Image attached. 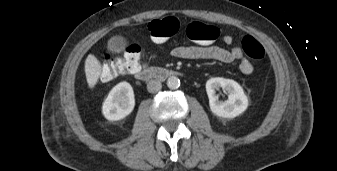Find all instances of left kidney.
<instances>
[{"label":"left kidney","instance_id":"1","mask_svg":"<svg viewBox=\"0 0 337 171\" xmlns=\"http://www.w3.org/2000/svg\"><path fill=\"white\" fill-rule=\"evenodd\" d=\"M219 88L228 93L226 101L218 99L216 90ZM206 92L212 113L219 117L234 118L243 113L248 107V98L243 88L234 80L222 77L211 78L206 82Z\"/></svg>","mask_w":337,"mask_h":171}]
</instances>
